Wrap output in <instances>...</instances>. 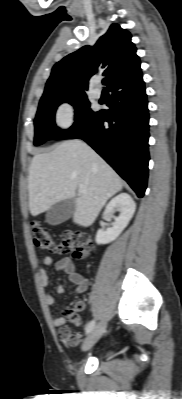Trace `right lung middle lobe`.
<instances>
[{
  "label": "right lung middle lobe",
  "mask_w": 182,
  "mask_h": 399,
  "mask_svg": "<svg viewBox=\"0 0 182 399\" xmlns=\"http://www.w3.org/2000/svg\"><path fill=\"white\" fill-rule=\"evenodd\" d=\"M64 102L70 103L76 109L75 123L68 130H60L55 125V111ZM94 113L86 95H64L40 100L35 118L34 144L37 146L50 139L59 140L68 132L83 129Z\"/></svg>",
  "instance_id": "dd1d6c3e"
}]
</instances>
